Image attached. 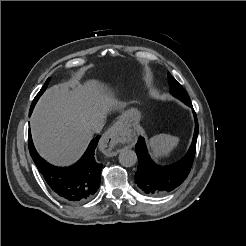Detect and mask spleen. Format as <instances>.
Segmentation results:
<instances>
[{
  "label": "spleen",
  "mask_w": 246,
  "mask_h": 246,
  "mask_svg": "<svg viewBox=\"0 0 246 246\" xmlns=\"http://www.w3.org/2000/svg\"><path fill=\"white\" fill-rule=\"evenodd\" d=\"M179 143V138L169 134H159L149 141V148L154 160L167 158Z\"/></svg>",
  "instance_id": "1"
}]
</instances>
